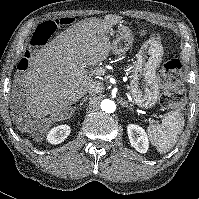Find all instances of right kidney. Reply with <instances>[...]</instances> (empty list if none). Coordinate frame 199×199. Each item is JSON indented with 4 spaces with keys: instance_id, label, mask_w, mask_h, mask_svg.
I'll use <instances>...</instances> for the list:
<instances>
[{
    "instance_id": "obj_1",
    "label": "right kidney",
    "mask_w": 199,
    "mask_h": 199,
    "mask_svg": "<svg viewBox=\"0 0 199 199\" xmlns=\"http://www.w3.org/2000/svg\"><path fill=\"white\" fill-rule=\"evenodd\" d=\"M69 134L70 127L68 125H59L48 132L46 140L51 144H59L63 142Z\"/></svg>"
}]
</instances>
